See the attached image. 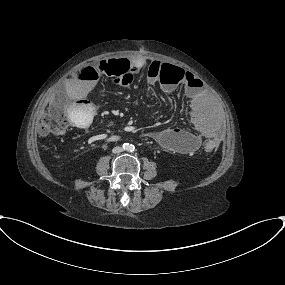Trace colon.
<instances>
[{
	"instance_id": "5ec220e1",
	"label": "colon",
	"mask_w": 285,
	"mask_h": 285,
	"mask_svg": "<svg viewBox=\"0 0 285 285\" xmlns=\"http://www.w3.org/2000/svg\"><path fill=\"white\" fill-rule=\"evenodd\" d=\"M135 69L127 59L105 60L94 66L82 67L75 76L78 80H87L100 76H108L124 85L132 83L135 77ZM184 70L178 67L168 66L163 71L159 70L157 76L163 83H180L184 76ZM72 115L78 119L80 127H88L93 119L90 114L88 119L79 117L77 112ZM69 125V110L59 100L54 99L47 108L46 113L39 119L38 128L41 135L64 132ZM219 138L209 135L204 139L203 149L206 152H215L219 148Z\"/></svg>"
}]
</instances>
